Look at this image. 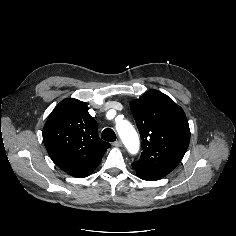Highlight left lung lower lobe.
<instances>
[{
  "mask_svg": "<svg viewBox=\"0 0 236 236\" xmlns=\"http://www.w3.org/2000/svg\"><path fill=\"white\" fill-rule=\"evenodd\" d=\"M136 174L139 178L143 179V180H147V181H156V180H159V178H155V177H152V176H149L147 175L145 172L139 170V169H136Z\"/></svg>",
  "mask_w": 236,
  "mask_h": 236,
  "instance_id": "1",
  "label": "left lung lower lobe"
}]
</instances>
